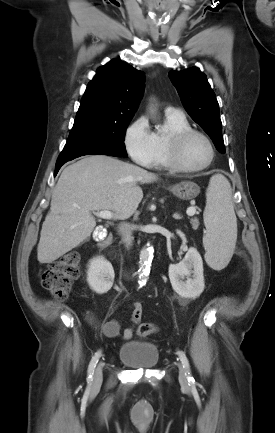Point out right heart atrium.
<instances>
[{
  "instance_id": "obj_1",
  "label": "right heart atrium",
  "mask_w": 275,
  "mask_h": 433,
  "mask_svg": "<svg viewBox=\"0 0 275 433\" xmlns=\"http://www.w3.org/2000/svg\"><path fill=\"white\" fill-rule=\"evenodd\" d=\"M124 144L130 158L140 166H151L154 157L153 132L145 116L135 119L126 129Z\"/></svg>"
}]
</instances>
